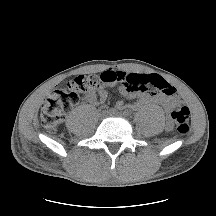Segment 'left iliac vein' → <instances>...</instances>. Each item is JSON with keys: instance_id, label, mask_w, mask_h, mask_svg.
Segmentation results:
<instances>
[{"instance_id": "left-iliac-vein-1", "label": "left iliac vein", "mask_w": 216, "mask_h": 216, "mask_svg": "<svg viewBox=\"0 0 216 216\" xmlns=\"http://www.w3.org/2000/svg\"><path fill=\"white\" fill-rule=\"evenodd\" d=\"M115 115H116V116H121V114H120V113H116Z\"/></svg>"}]
</instances>
